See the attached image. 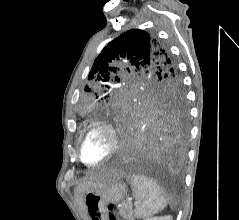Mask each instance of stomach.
Returning a JSON list of instances; mask_svg holds the SVG:
<instances>
[{"label": "stomach", "instance_id": "obj_1", "mask_svg": "<svg viewBox=\"0 0 239 220\" xmlns=\"http://www.w3.org/2000/svg\"><path fill=\"white\" fill-rule=\"evenodd\" d=\"M127 193L125 183L112 180L102 187L93 188L83 195L84 212L88 220H122L119 203Z\"/></svg>", "mask_w": 239, "mask_h": 220}]
</instances>
